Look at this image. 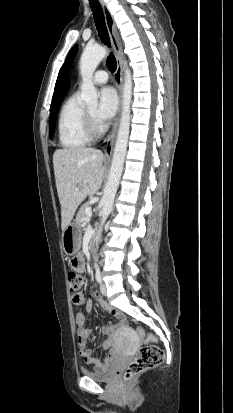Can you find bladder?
<instances>
[{"instance_id":"obj_1","label":"bladder","mask_w":233,"mask_h":413,"mask_svg":"<svg viewBox=\"0 0 233 413\" xmlns=\"http://www.w3.org/2000/svg\"><path fill=\"white\" fill-rule=\"evenodd\" d=\"M82 374L87 378L99 382H108L113 378V371L109 368L97 371L82 370Z\"/></svg>"}]
</instances>
